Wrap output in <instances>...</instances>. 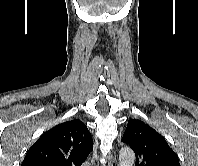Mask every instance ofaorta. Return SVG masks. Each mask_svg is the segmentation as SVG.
Returning a JSON list of instances; mask_svg holds the SVG:
<instances>
[{"label":"aorta","mask_w":198,"mask_h":166,"mask_svg":"<svg viewBox=\"0 0 198 166\" xmlns=\"http://www.w3.org/2000/svg\"><path fill=\"white\" fill-rule=\"evenodd\" d=\"M135 154L129 147H123L119 151V166H133Z\"/></svg>","instance_id":"1"}]
</instances>
